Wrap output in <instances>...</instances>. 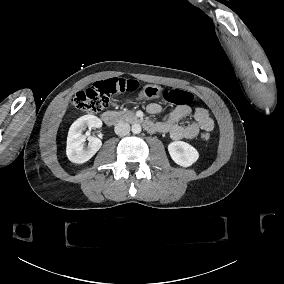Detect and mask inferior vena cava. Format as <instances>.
I'll list each match as a JSON object with an SVG mask.
<instances>
[{
  "label": "inferior vena cava",
  "mask_w": 284,
  "mask_h": 284,
  "mask_svg": "<svg viewBox=\"0 0 284 284\" xmlns=\"http://www.w3.org/2000/svg\"><path fill=\"white\" fill-rule=\"evenodd\" d=\"M114 131L117 135L125 136L130 132V125L126 122H119L115 125Z\"/></svg>",
  "instance_id": "obj_1"
}]
</instances>
